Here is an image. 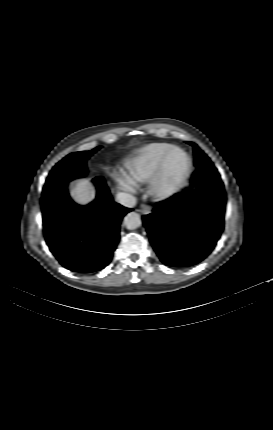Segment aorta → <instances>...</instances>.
<instances>
[{"label": "aorta", "mask_w": 273, "mask_h": 430, "mask_svg": "<svg viewBox=\"0 0 273 430\" xmlns=\"http://www.w3.org/2000/svg\"><path fill=\"white\" fill-rule=\"evenodd\" d=\"M124 224L127 229H136L141 225L140 215L136 212L128 213L124 218Z\"/></svg>", "instance_id": "762f6f07"}]
</instances>
